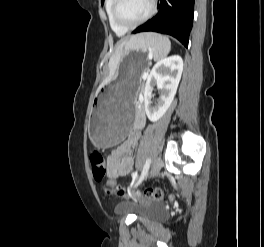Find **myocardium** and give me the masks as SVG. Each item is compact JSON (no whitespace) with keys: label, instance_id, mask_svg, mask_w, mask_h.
Masks as SVG:
<instances>
[{"label":"myocardium","instance_id":"f54148a6","mask_svg":"<svg viewBox=\"0 0 264 247\" xmlns=\"http://www.w3.org/2000/svg\"><path fill=\"white\" fill-rule=\"evenodd\" d=\"M121 2H122V0H114V4H113V8H112V14H113V18H114V21L116 22V24H118L119 26L123 27L126 30H131V29H134V28L144 24L146 21H148L153 16V14L156 11V0H150V8H149L147 14L143 18H141L140 20H138L134 23H128V22L124 21L120 16Z\"/></svg>","mask_w":264,"mask_h":247}]
</instances>
